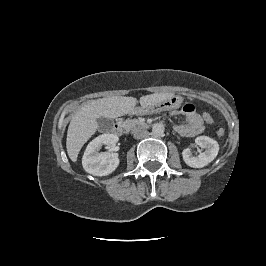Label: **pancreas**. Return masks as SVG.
I'll return each mask as SVG.
<instances>
[{
	"mask_svg": "<svg viewBox=\"0 0 266 266\" xmlns=\"http://www.w3.org/2000/svg\"><path fill=\"white\" fill-rule=\"evenodd\" d=\"M127 122L130 124V126H131L132 128H135L136 126H138V125L140 124L139 121L136 120V119L129 120V121H127Z\"/></svg>",
	"mask_w": 266,
	"mask_h": 266,
	"instance_id": "pancreas-1",
	"label": "pancreas"
}]
</instances>
